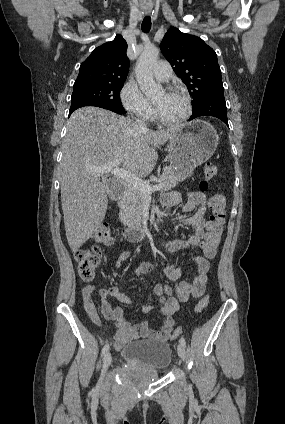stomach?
Segmentation results:
<instances>
[{
    "label": "stomach",
    "mask_w": 285,
    "mask_h": 424,
    "mask_svg": "<svg viewBox=\"0 0 285 424\" xmlns=\"http://www.w3.org/2000/svg\"><path fill=\"white\" fill-rule=\"evenodd\" d=\"M219 137L212 125L203 120L186 123L170 139L168 145L171 167L181 179L206 162L215 152Z\"/></svg>",
    "instance_id": "stomach-1"
}]
</instances>
